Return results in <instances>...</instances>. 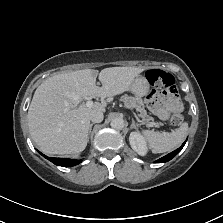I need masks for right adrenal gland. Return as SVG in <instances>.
Returning a JSON list of instances; mask_svg holds the SVG:
<instances>
[{"instance_id":"right-adrenal-gland-1","label":"right adrenal gland","mask_w":223,"mask_h":223,"mask_svg":"<svg viewBox=\"0 0 223 223\" xmlns=\"http://www.w3.org/2000/svg\"><path fill=\"white\" fill-rule=\"evenodd\" d=\"M95 123H91L90 124V128H89V132H88V135H90V133H91V130H92V126L94 125Z\"/></svg>"}]
</instances>
